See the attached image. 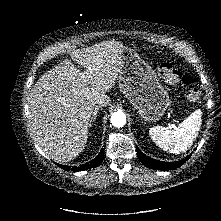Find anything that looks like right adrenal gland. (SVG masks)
<instances>
[{
  "label": "right adrenal gland",
  "mask_w": 221,
  "mask_h": 221,
  "mask_svg": "<svg viewBox=\"0 0 221 221\" xmlns=\"http://www.w3.org/2000/svg\"><path fill=\"white\" fill-rule=\"evenodd\" d=\"M100 108H102V106H96L94 108V112H93V114L91 116V119L89 121V126L90 127L92 126V123L96 121V117H97V114H98V111H99Z\"/></svg>",
  "instance_id": "right-adrenal-gland-1"
}]
</instances>
